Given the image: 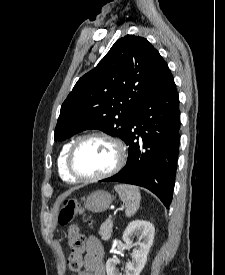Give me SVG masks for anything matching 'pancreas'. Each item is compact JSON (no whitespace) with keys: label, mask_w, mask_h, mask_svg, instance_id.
Listing matches in <instances>:
<instances>
[{"label":"pancreas","mask_w":225,"mask_h":275,"mask_svg":"<svg viewBox=\"0 0 225 275\" xmlns=\"http://www.w3.org/2000/svg\"><path fill=\"white\" fill-rule=\"evenodd\" d=\"M112 228H113V222L112 221H105L99 230V234L102 238V240H109L111 237V233H112Z\"/></svg>","instance_id":"pancreas-1"}]
</instances>
